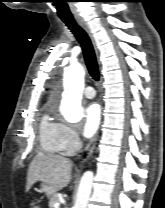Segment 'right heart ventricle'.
<instances>
[{
  "label": "right heart ventricle",
  "instance_id": "obj_1",
  "mask_svg": "<svg viewBox=\"0 0 165 208\" xmlns=\"http://www.w3.org/2000/svg\"><path fill=\"white\" fill-rule=\"evenodd\" d=\"M39 134L43 149L51 153H62L59 125L48 113H45L41 119Z\"/></svg>",
  "mask_w": 165,
  "mask_h": 208
}]
</instances>
